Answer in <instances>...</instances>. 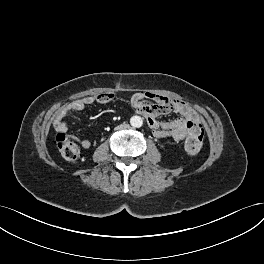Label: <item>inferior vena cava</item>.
<instances>
[{
	"instance_id": "602c4592",
	"label": "inferior vena cava",
	"mask_w": 264,
	"mask_h": 264,
	"mask_svg": "<svg viewBox=\"0 0 264 264\" xmlns=\"http://www.w3.org/2000/svg\"><path fill=\"white\" fill-rule=\"evenodd\" d=\"M131 125L129 123H119L117 125H115V130H122V129H126L129 128Z\"/></svg>"
}]
</instances>
